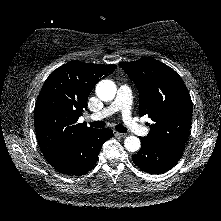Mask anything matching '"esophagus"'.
Segmentation results:
<instances>
[{
    "label": "esophagus",
    "mask_w": 221,
    "mask_h": 221,
    "mask_svg": "<svg viewBox=\"0 0 221 221\" xmlns=\"http://www.w3.org/2000/svg\"><path fill=\"white\" fill-rule=\"evenodd\" d=\"M114 135L117 136V137H122V138H124V137L127 136V134H125V133H120V132H117V131H114Z\"/></svg>",
    "instance_id": "34e87169"
}]
</instances>
